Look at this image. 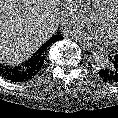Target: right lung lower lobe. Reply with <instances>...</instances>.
I'll return each instance as SVG.
<instances>
[{
	"label": "right lung lower lobe",
	"instance_id": "obj_1",
	"mask_svg": "<svg viewBox=\"0 0 118 118\" xmlns=\"http://www.w3.org/2000/svg\"><path fill=\"white\" fill-rule=\"evenodd\" d=\"M53 37H54V42L63 39L61 35H55ZM45 54L40 57L33 55L24 64H21L16 67H7L0 65V74L2 75V77L12 82H23L30 80L36 74H38V72L43 67L45 61Z\"/></svg>",
	"mask_w": 118,
	"mask_h": 118
}]
</instances>
